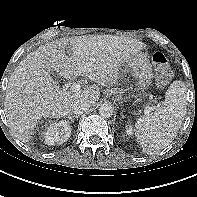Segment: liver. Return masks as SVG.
Listing matches in <instances>:
<instances>
[{
	"mask_svg": "<svg viewBox=\"0 0 197 197\" xmlns=\"http://www.w3.org/2000/svg\"><path fill=\"white\" fill-rule=\"evenodd\" d=\"M68 44L71 56L65 52ZM144 48L145 44L137 39L113 35L62 38L39 47L19 63L9 78L4 110L11 131L27 143L39 120L66 117L74 100L86 98L95 105L99 86L116 84L120 66ZM51 70L65 79L86 76L97 85L73 93L60 90L50 76Z\"/></svg>",
	"mask_w": 197,
	"mask_h": 197,
	"instance_id": "1",
	"label": "liver"
}]
</instances>
